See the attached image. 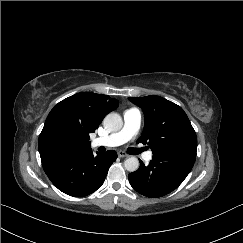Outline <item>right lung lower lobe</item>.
I'll use <instances>...</instances> for the list:
<instances>
[{"label": "right lung lower lobe", "instance_id": "obj_1", "mask_svg": "<svg viewBox=\"0 0 243 243\" xmlns=\"http://www.w3.org/2000/svg\"><path fill=\"white\" fill-rule=\"evenodd\" d=\"M117 153L109 150L93 155L92 150L42 162L51 182L62 192L74 197L87 196L103 184Z\"/></svg>", "mask_w": 243, "mask_h": 243}]
</instances>
